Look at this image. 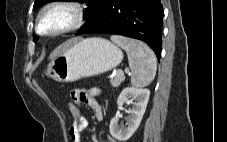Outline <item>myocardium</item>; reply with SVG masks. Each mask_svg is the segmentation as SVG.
Returning a JSON list of instances; mask_svg holds the SVG:
<instances>
[{
    "label": "myocardium",
    "mask_w": 227,
    "mask_h": 142,
    "mask_svg": "<svg viewBox=\"0 0 227 142\" xmlns=\"http://www.w3.org/2000/svg\"><path fill=\"white\" fill-rule=\"evenodd\" d=\"M57 8H64L68 9L72 12L73 20L70 25H68L65 28H62L60 30L51 31V32H43L40 29L42 19L45 16L47 12H49L52 9ZM85 20V9L84 6L75 0H55L51 1L47 4H45L39 11L36 17V23H35V32L43 37H56L60 35H64L70 32H73L80 28Z\"/></svg>",
    "instance_id": "myocardium-1"
}]
</instances>
